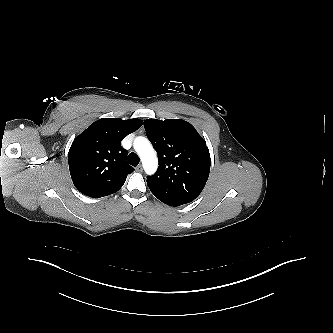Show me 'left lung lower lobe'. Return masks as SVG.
Segmentation results:
<instances>
[{
	"label": "left lung lower lobe",
	"instance_id": "1",
	"mask_svg": "<svg viewBox=\"0 0 333 333\" xmlns=\"http://www.w3.org/2000/svg\"><path fill=\"white\" fill-rule=\"evenodd\" d=\"M165 204L167 205H170V206H179V205H183V204H186V203H189L193 200H187V199H181V198H176V197H170V198H167L165 200H163Z\"/></svg>",
	"mask_w": 333,
	"mask_h": 333
}]
</instances>
